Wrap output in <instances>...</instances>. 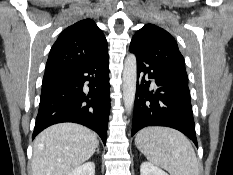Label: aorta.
<instances>
[{
    "mask_svg": "<svg viewBox=\"0 0 233 175\" xmlns=\"http://www.w3.org/2000/svg\"><path fill=\"white\" fill-rule=\"evenodd\" d=\"M136 82L137 61L135 55L130 54L125 59L123 70V103L128 114L131 113L134 105Z\"/></svg>",
    "mask_w": 233,
    "mask_h": 175,
    "instance_id": "obj_1",
    "label": "aorta"
}]
</instances>
